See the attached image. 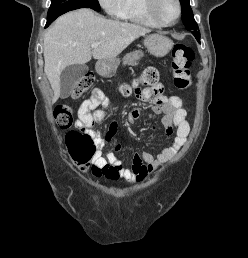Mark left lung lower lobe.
Listing matches in <instances>:
<instances>
[{"label": "left lung lower lobe", "mask_w": 248, "mask_h": 258, "mask_svg": "<svg viewBox=\"0 0 248 258\" xmlns=\"http://www.w3.org/2000/svg\"><path fill=\"white\" fill-rule=\"evenodd\" d=\"M192 33L196 37L197 41L200 42V33L198 31H193Z\"/></svg>", "instance_id": "1"}]
</instances>
